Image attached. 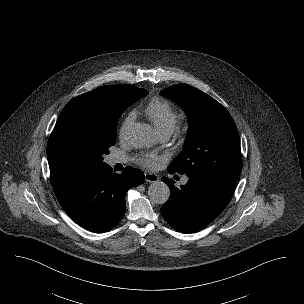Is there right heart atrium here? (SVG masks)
I'll return each instance as SVG.
<instances>
[{"mask_svg":"<svg viewBox=\"0 0 304 304\" xmlns=\"http://www.w3.org/2000/svg\"><path fill=\"white\" fill-rule=\"evenodd\" d=\"M134 119V114L133 113H129L125 119L123 120L121 127H120V131L119 134L120 136H123L128 128V126L130 125V123L132 122V120Z\"/></svg>","mask_w":304,"mask_h":304,"instance_id":"right-heart-atrium-1","label":"right heart atrium"}]
</instances>
